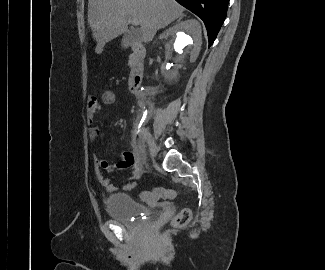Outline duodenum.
I'll use <instances>...</instances> for the list:
<instances>
[{
    "instance_id": "410a0bca",
    "label": "duodenum",
    "mask_w": 325,
    "mask_h": 270,
    "mask_svg": "<svg viewBox=\"0 0 325 270\" xmlns=\"http://www.w3.org/2000/svg\"><path fill=\"white\" fill-rule=\"evenodd\" d=\"M146 55V48L142 43H134L132 45L131 53V72L129 76V84L132 92L138 95L140 99V92L144 79V58Z\"/></svg>"
}]
</instances>
